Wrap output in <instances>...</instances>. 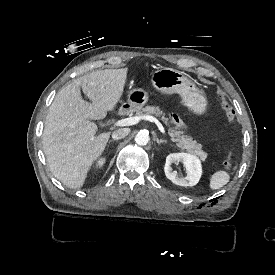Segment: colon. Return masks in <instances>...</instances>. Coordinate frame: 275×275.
Segmentation results:
<instances>
[{"mask_svg":"<svg viewBox=\"0 0 275 275\" xmlns=\"http://www.w3.org/2000/svg\"><path fill=\"white\" fill-rule=\"evenodd\" d=\"M220 106L222 109L226 111L228 120L235 124L237 121V114L236 111L230 106L229 102L223 95H219ZM224 165L226 169L233 170L236 165V158L234 155H231L225 162Z\"/></svg>","mask_w":275,"mask_h":275,"instance_id":"1","label":"colon"}]
</instances>
